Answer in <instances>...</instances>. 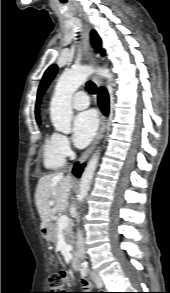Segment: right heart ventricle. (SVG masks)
Here are the masks:
<instances>
[{
    "label": "right heart ventricle",
    "instance_id": "e07e8e85",
    "mask_svg": "<svg viewBox=\"0 0 170 293\" xmlns=\"http://www.w3.org/2000/svg\"><path fill=\"white\" fill-rule=\"evenodd\" d=\"M43 163L50 171L58 170L65 163V157L56 146V133H47L42 146Z\"/></svg>",
    "mask_w": 170,
    "mask_h": 293
}]
</instances>
